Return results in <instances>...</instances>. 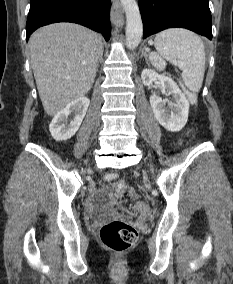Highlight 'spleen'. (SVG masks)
Wrapping results in <instances>:
<instances>
[{
  "mask_svg": "<svg viewBox=\"0 0 233 284\" xmlns=\"http://www.w3.org/2000/svg\"><path fill=\"white\" fill-rule=\"evenodd\" d=\"M158 54L182 71L185 86L192 92H199L205 73V48L201 38L186 29H167L154 39ZM157 55L151 53L154 64Z\"/></svg>",
  "mask_w": 233,
  "mask_h": 284,
  "instance_id": "obj_1",
  "label": "spleen"
}]
</instances>
